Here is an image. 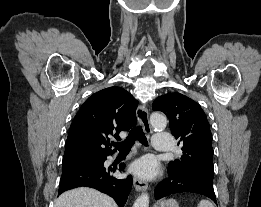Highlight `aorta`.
<instances>
[{"label":"aorta","instance_id":"aorta-1","mask_svg":"<svg viewBox=\"0 0 261 207\" xmlns=\"http://www.w3.org/2000/svg\"><path fill=\"white\" fill-rule=\"evenodd\" d=\"M150 123L154 129L163 130L167 126V119L163 114L155 112L150 117ZM133 207H149V195L147 193L141 194L134 202Z\"/></svg>","mask_w":261,"mask_h":207}]
</instances>
